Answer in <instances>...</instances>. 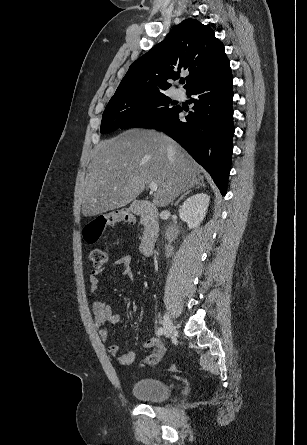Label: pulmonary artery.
I'll return each instance as SVG.
<instances>
[{
    "label": "pulmonary artery",
    "instance_id": "obj_1",
    "mask_svg": "<svg viewBox=\"0 0 307 445\" xmlns=\"http://www.w3.org/2000/svg\"><path fill=\"white\" fill-rule=\"evenodd\" d=\"M173 94H174L175 96H179L180 92H179L178 90H175V91L173 92Z\"/></svg>",
    "mask_w": 307,
    "mask_h": 445
}]
</instances>
